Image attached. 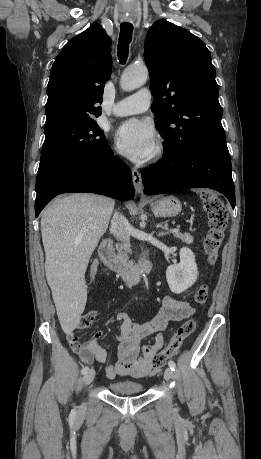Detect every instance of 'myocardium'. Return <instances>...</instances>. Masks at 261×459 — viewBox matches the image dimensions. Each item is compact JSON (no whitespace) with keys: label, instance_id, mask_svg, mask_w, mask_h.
Here are the masks:
<instances>
[{"label":"myocardium","instance_id":"obj_1","mask_svg":"<svg viewBox=\"0 0 261 459\" xmlns=\"http://www.w3.org/2000/svg\"><path fill=\"white\" fill-rule=\"evenodd\" d=\"M163 151H164L163 146L162 145H158L156 150H155V157H157V158L161 157L162 154H163Z\"/></svg>","mask_w":261,"mask_h":459}]
</instances>
